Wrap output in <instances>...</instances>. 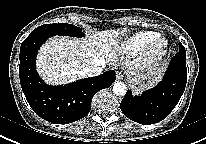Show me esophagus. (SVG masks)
Segmentation results:
<instances>
[{"label":"esophagus","mask_w":206,"mask_h":144,"mask_svg":"<svg viewBox=\"0 0 206 144\" xmlns=\"http://www.w3.org/2000/svg\"><path fill=\"white\" fill-rule=\"evenodd\" d=\"M123 78H124L123 73L120 72V71H118V72L116 73V79H117V80H123Z\"/></svg>","instance_id":"obj_1"}]
</instances>
